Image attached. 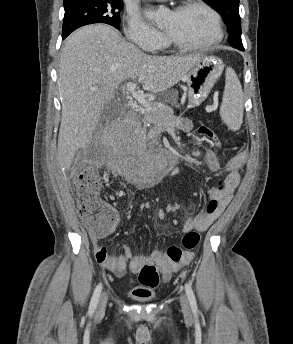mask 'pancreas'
<instances>
[{
    "mask_svg": "<svg viewBox=\"0 0 293 344\" xmlns=\"http://www.w3.org/2000/svg\"><path fill=\"white\" fill-rule=\"evenodd\" d=\"M168 123L174 124L177 128H180V120L173 116V111L170 107L165 106L163 109H157L153 112L145 111L142 114V121L137 122L133 129H121L119 130L120 138H126L129 134L133 132L141 133L145 135L147 130L151 128V130L156 134L159 135L161 131L167 126ZM148 125L150 127H148ZM154 126V127H153ZM157 139V138H154Z\"/></svg>",
    "mask_w": 293,
    "mask_h": 344,
    "instance_id": "cf45deb5",
    "label": "pancreas"
}]
</instances>
